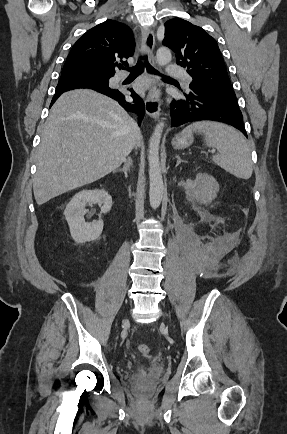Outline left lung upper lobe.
<instances>
[{"instance_id":"5c2ea615","label":"left lung upper lobe","mask_w":287,"mask_h":434,"mask_svg":"<svg viewBox=\"0 0 287 434\" xmlns=\"http://www.w3.org/2000/svg\"><path fill=\"white\" fill-rule=\"evenodd\" d=\"M163 44L175 52L177 64L188 69L190 86L234 94L217 42L201 27L171 19L165 23Z\"/></svg>"}]
</instances>
